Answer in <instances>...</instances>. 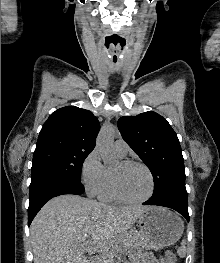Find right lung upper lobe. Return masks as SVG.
<instances>
[{
  "label": "right lung upper lobe",
  "mask_w": 220,
  "mask_h": 263,
  "mask_svg": "<svg viewBox=\"0 0 220 263\" xmlns=\"http://www.w3.org/2000/svg\"><path fill=\"white\" fill-rule=\"evenodd\" d=\"M99 130V121L89 110L76 106L60 108L44 123L35 152L53 148L92 151Z\"/></svg>",
  "instance_id": "1"
}]
</instances>
